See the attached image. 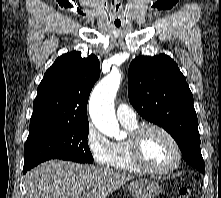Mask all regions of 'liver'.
Here are the masks:
<instances>
[{
    "mask_svg": "<svg viewBox=\"0 0 221 198\" xmlns=\"http://www.w3.org/2000/svg\"><path fill=\"white\" fill-rule=\"evenodd\" d=\"M132 178L92 165L49 160L26 174V198H106Z\"/></svg>",
    "mask_w": 221,
    "mask_h": 198,
    "instance_id": "1",
    "label": "liver"
}]
</instances>
